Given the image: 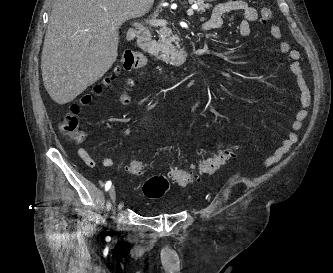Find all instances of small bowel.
I'll use <instances>...</instances> for the list:
<instances>
[{
  "mask_svg": "<svg viewBox=\"0 0 333 273\" xmlns=\"http://www.w3.org/2000/svg\"><path fill=\"white\" fill-rule=\"evenodd\" d=\"M230 12H239L243 19L237 26V32L242 37H248L251 34V24L256 22L259 17V11L246 4L243 0H226L218 3L211 15V17L203 24L204 30H213L222 27L224 16ZM271 33L274 38L279 41V50L281 53L288 55L292 60L290 69L294 74V78L299 90V103L300 108L295 113V118L291 123V130L287 137L277 146L273 154L267 159L266 164L271 165L279 162L284 155H286L292 146L298 141V131L303 125V120L307 117V107L310 104V93L299 63L300 54L298 51L291 49L288 42L281 40L280 30L276 26L271 27ZM126 91H132L134 86L132 84H126L124 86ZM121 101L124 105L130 102L128 96L121 97ZM78 155L84 161L87 166H94V160L85 148L78 150ZM104 167H110L114 164V159L111 156H104L100 161ZM139 176V175H132Z\"/></svg>",
  "mask_w": 333,
  "mask_h": 273,
  "instance_id": "small-bowel-1",
  "label": "small bowel"
}]
</instances>
